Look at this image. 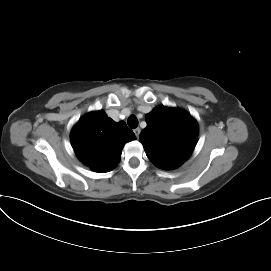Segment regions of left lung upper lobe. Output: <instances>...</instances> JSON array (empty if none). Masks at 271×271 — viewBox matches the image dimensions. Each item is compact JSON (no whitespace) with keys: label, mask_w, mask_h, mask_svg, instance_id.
I'll use <instances>...</instances> for the list:
<instances>
[{"label":"left lung upper lobe","mask_w":271,"mask_h":271,"mask_svg":"<svg viewBox=\"0 0 271 271\" xmlns=\"http://www.w3.org/2000/svg\"><path fill=\"white\" fill-rule=\"evenodd\" d=\"M140 134L147 157L159 168L173 169L184 163L197 142L198 125L182 109L158 106L146 116Z\"/></svg>","instance_id":"left-lung-upper-lobe-1"}]
</instances>
